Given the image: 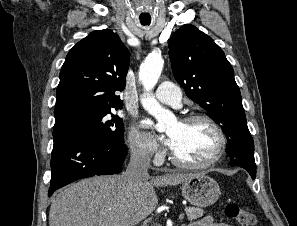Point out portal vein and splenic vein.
Instances as JSON below:
<instances>
[{
  "label": "portal vein and splenic vein",
  "instance_id": "18ae733b",
  "mask_svg": "<svg viewBox=\"0 0 297 226\" xmlns=\"http://www.w3.org/2000/svg\"><path fill=\"white\" fill-rule=\"evenodd\" d=\"M184 218V213H181L180 215H179V219H183Z\"/></svg>",
  "mask_w": 297,
  "mask_h": 226
}]
</instances>
